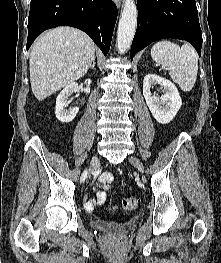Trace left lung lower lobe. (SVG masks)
<instances>
[{
    "label": "left lung lower lobe",
    "mask_w": 221,
    "mask_h": 263,
    "mask_svg": "<svg viewBox=\"0 0 221 263\" xmlns=\"http://www.w3.org/2000/svg\"><path fill=\"white\" fill-rule=\"evenodd\" d=\"M137 8L131 60L138 51L162 38L186 40L201 55L202 31L195 0H137Z\"/></svg>",
    "instance_id": "1"
}]
</instances>
